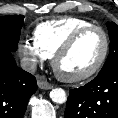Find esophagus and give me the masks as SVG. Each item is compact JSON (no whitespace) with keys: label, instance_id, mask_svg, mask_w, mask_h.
Masks as SVG:
<instances>
[{"label":"esophagus","instance_id":"34e87169","mask_svg":"<svg viewBox=\"0 0 118 118\" xmlns=\"http://www.w3.org/2000/svg\"><path fill=\"white\" fill-rule=\"evenodd\" d=\"M37 84H38V87L40 89H44V90H49L51 88H53V85H51L45 78L43 77H40L38 80H37Z\"/></svg>","mask_w":118,"mask_h":118}]
</instances>
